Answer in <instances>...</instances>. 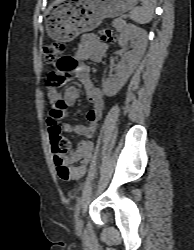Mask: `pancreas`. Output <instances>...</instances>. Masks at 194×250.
<instances>
[{"label":"pancreas","instance_id":"obj_1","mask_svg":"<svg viewBox=\"0 0 194 250\" xmlns=\"http://www.w3.org/2000/svg\"><path fill=\"white\" fill-rule=\"evenodd\" d=\"M112 25L117 31H121L125 27V21H123L121 18H117V19H114V21L112 22Z\"/></svg>","mask_w":194,"mask_h":250}]
</instances>
